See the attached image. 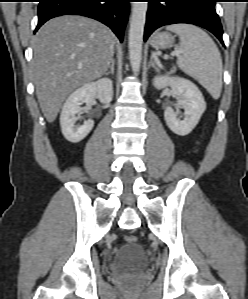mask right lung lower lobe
I'll use <instances>...</instances> for the list:
<instances>
[{
  "instance_id": "obj_1",
  "label": "right lung lower lobe",
  "mask_w": 248,
  "mask_h": 299,
  "mask_svg": "<svg viewBox=\"0 0 248 299\" xmlns=\"http://www.w3.org/2000/svg\"><path fill=\"white\" fill-rule=\"evenodd\" d=\"M130 0H40L37 31L46 21L61 15H82L112 29L120 41L128 19Z\"/></svg>"
}]
</instances>
